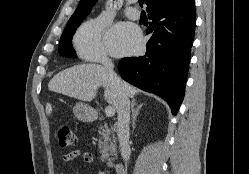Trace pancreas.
I'll list each match as a JSON object with an SVG mask.
<instances>
[{"label": "pancreas", "instance_id": "cf45deb5", "mask_svg": "<svg viewBox=\"0 0 249 174\" xmlns=\"http://www.w3.org/2000/svg\"><path fill=\"white\" fill-rule=\"evenodd\" d=\"M101 135L99 141V148L101 153V160L107 161V165L112 167V160L116 157V139L115 135L107 125L99 126L98 130Z\"/></svg>", "mask_w": 249, "mask_h": 174}]
</instances>
